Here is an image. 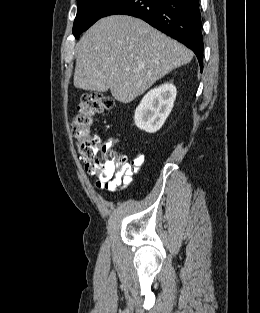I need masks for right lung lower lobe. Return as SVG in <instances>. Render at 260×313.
<instances>
[{"mask_svg": "<svg viewBox=\"0 0 260 313\" xmlns=\"http://www.w3.org/2000/svg\"><path fill=\"white\" fill-rule=\"evenodd\" d=\"M124 14L151 26L189 47L203 69V36L199 0H118L103 15Z\"/></svg>", "mask_w": 260, "mask_h": 313, "instance_id": "98d812e1", "label": "right lung lower lobe"}]
</instances>
